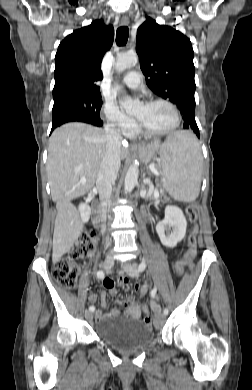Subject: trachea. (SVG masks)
<instances>
[{"label":"trachea","mask_w":252,"mask_h":390,"mask_svg":"<svg viewBox=\"0 0 252 390\" xmlns=\"http://www.w3.org/2000/svg\"><path fill=\"white\" fill-rule=\"evenodd\" d=\"M129 29L126 26H122L117 29L116 43L118 46H124L128 40Z\"/></svg>","instance_id":"3493384b"}]
</instances>
